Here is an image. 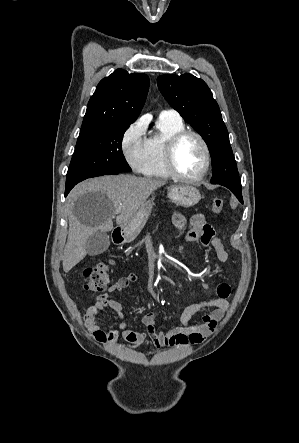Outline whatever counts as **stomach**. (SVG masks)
Segmentation results:
<instances>
[{"mask_svg":"<svg viewBox=\"0 0 299 443\" xmlns=\"http://www.w3.org/2000/svg\"><path fill=\"white\" fill-rule=\"evenodd\" d=\"M167 195L171 202L183 207L194 206L201 199L199 190L191 185L172 186L168 189ZM154 205V198H151L121 226L123 243L131 242L138 236L145 226Z\"/></svg>","mask_w":299,"mask_h":443,"instance_id":"obj_1","label":"stomach"}]
</instances>
